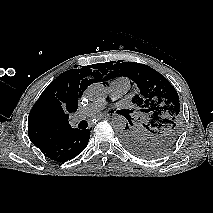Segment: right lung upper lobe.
<instances>
[{"mask_svg":"<svg viewBox=\"0 0 213 213\" xmlns=\"http://www.w3.org/2000/svg\"><path fill=\"white\" fill-rule=\"evenodd\" d=\"M96 65L68 70L42 92L28 117V135L33 142L56 139L71 133L69 114L76 112L85 89L102 79Z\"/></svg>","mask_w":213,"mask_h":213,"instance_id":"right-lung-upper-lobe-1","label":"right lung upper lobe"}]
</instances>
